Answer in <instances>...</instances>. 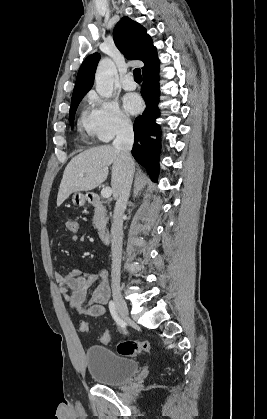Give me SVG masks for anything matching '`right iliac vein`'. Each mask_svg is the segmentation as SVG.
Here are the masks:
<instances>
[{
	"mask_svg": "<svg viewBox=\"0 0 267 419\" xmlns=\"http://www.w3.org/2000/svg\"><path fill=\"white\" fill-rule=\"evenodd\" d=\"M114 303L116 306V309L120 316L125 320L129 321V312L126 302L123 300L121 294L119 292H115L113 294Z\"/></svg>",
	"mask_w": 267,
	"mask_h": 419,
	"instance_id": "63e3f726",
	"label": "right iliac vein"
}]
</instances>
